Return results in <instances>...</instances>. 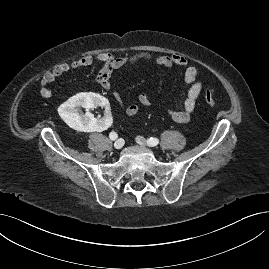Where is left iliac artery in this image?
Returning <instances> with one entry per match:
<instances>
[{"label": "left iliac artery", "mask_w": 269, "mask_h": 269, "mask_svg": "<svg viewBox=\"0 0 269 269\" xmlns=\"http://www.w3.org/2000/svg\"><path fill=\"white\" fill-rule=\"evenodd\" d=\"M158 143H159V140H158L157 138H153V137H151V138H149V139L147 140V144H148L149 146H156Z\"/></svg>", "instance_id": "left-iliac-artery-1"}]
</instances>
